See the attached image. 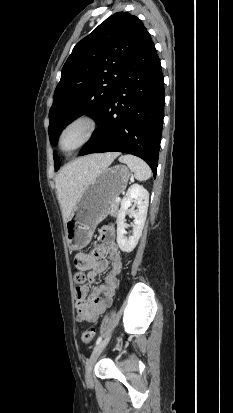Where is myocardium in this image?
<instances>
[{"mask_svg":"<svg viewBox=\"0 0 233 413\" xmlns=\"http://www.w3.org/2000/svg\"><path fill=\"white\" fill-rule=\"evenodd\" d=\"M77 125L84 126L85 130H84V135H83L82 139L72 149H70V150L63 149L62 139H63L64 135L66 134V132L68 130H70L71 128H73ZM97 126H98V123H97L96 118L90 113H81V114H78V115L74 116L73 118H71L69 121H67L64 124V126L62 127V129L60 130V132L58 134V138H57L58 149L65 155H71V154L75 153L76 151H78L80 148H82L84 145H86L93 138V136H94V134L97 130Z\"/></svg>","mask_w":233,"mask_h":413,"instance_id":"obj_1","label":"myocardium"}]
</instances>
